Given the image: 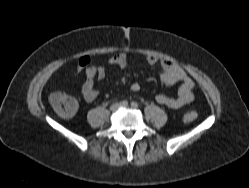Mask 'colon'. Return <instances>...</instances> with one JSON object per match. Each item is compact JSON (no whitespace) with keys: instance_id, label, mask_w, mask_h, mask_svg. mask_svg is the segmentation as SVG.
<instances>
[{"instance_id":"colon-1","label":"colon","mask_w":249,"mask_h":188,"mask_svg":"<svg viewBox=\"0 0 249 188\" xmlns=\"http://www.w3.org/2000/svg\"><path fill=\"white\" fill-rule=\"evenodd\" d=\"M49 101L56 113L63 118L74 116L78 108L77 100L69 92L63 90L53 92ZM196 118L197 112L189 110L183 115V122L189 124L194 122Z\"/></svg>"}]
</instances>
